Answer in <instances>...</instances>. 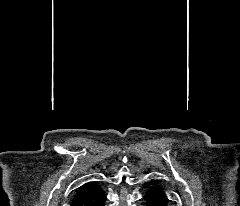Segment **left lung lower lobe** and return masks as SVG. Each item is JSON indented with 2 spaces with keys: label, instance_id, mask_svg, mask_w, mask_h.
<instances>
[{
  "label": "left lung lower lobe",
  "instance_id": "obj_1",
  "mask_svg": "<svg viewBox=\"0 0 240 206\" xmlns=\"http://www.w3.org/2000/svg\"><path fill=\"white\" fill-rule=\"evenodd\" d=\"M145 206H168L169 199L159 184H154L144 195Z\"/></svg>",
  "mask_w": 240,
  "mask_h": 206
}]
</instances>
